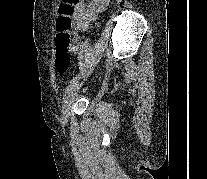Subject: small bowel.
<instances>
[{
    "mask_svg": "<svg viewBox=\"0 0 207 179\" xmlns=\"http://www.w3.org/2000/svg\"><path fill=\"white\" fill-rule=\"evenodd\" d=\"M109 0H88V2H81L76 9L74 14V21L76 30L78 32H84L88 28L89 24L102 12ZM79 42L76 37L75 42L71 47V52L75 53L78 50Z\"/></svg>",
    "mask_w": 207,
    "mask_h": 179,
    "instance_id": "small-bowel-1",
    "label": "small bowel"
}]
</instances>
